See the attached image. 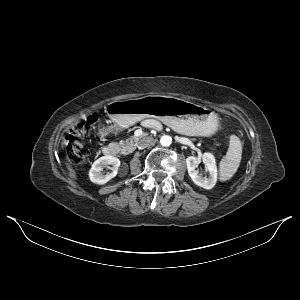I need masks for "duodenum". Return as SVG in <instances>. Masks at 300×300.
I'll list each match as a JSON object with an SVG mask.
<instances>
[{
    "instance_id": "duodenum-1",
    "label": "duodenum",
    "mask_w": 300,
    "mask_h": 300,
    "mask_svg": "<svg viewBox=\"0 0 300 300\" xmlns=\"http://www.w3.org/2000/svg\"><path fill=\"white\" fill-rule=\"evenodd\" d=\"M106 157H114L116 155L117 149L115 146L107 145L102 150Z\"/></svg>"
}]
</instances>
